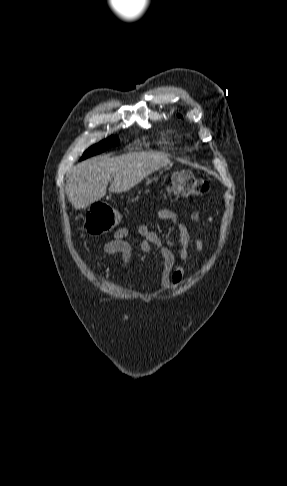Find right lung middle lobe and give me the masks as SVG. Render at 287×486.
Returning a JSON list of instances; mask_svg holds the SVG:
<instances>
[{"instance_id": "dd1d6c3e", "label": "right lung middle lobe", "mask_w": 287, "mask_h": 486, "mask_svg": "<svg viewBox=\"0 0 287 486\" xmlns=\"http://www.w3.org/2000/svg\"><path fill=\"white\" fill-rule=\"evenodd\" d=\"M118 144H119L118 138L115 137V136H111L110 138H108V139H106L104 141H101L100 143H98V144L92 146L91 148H89L83 154L81 160L105 151L106 149L109 148L110 145H115L116 146Z\"/></svg>"}]
</instances>
